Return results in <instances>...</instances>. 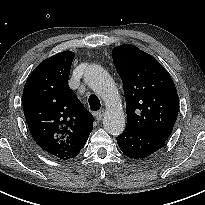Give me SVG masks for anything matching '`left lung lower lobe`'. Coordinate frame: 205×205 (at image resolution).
I'll list each match as a JSON object with an SVG mask.
<instances>
[{"mask_svg": "<svg viewBox=\"0 0 205 205\" xmlns=\"http://www.w3.org/2000/svg\"><path fill=\"white\" fill-rule=\"evenodd\" d=\"M166 140L155 135L126 127L117 137L121 151L128 157L145 158L165 145Z\"/></svg>", "mask_w": 205, "mask_h": 205, "instance_id": "1", "label": "left lung lower lobe"}]
</instances>
